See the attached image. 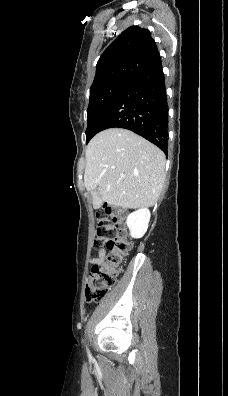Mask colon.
Segmentation results:
<instances>
[{"instance_id": "obj_1", "label": "colon", "mask_w": 228, "mask_h": 396, "mask_svg": "<svg viewBox=\"0 0 228 396\" xmlns=\"http://www.w3.org/2000/svg\"><path fill=\"white\" fill-rule=\"evenodd\" d=\"M96 246L106 249L102 260L93 265L88 275L85 298L88 303L101 301L113 287L120 273L122 260L130 249L125 224L120 212L105 205L96 216Z\"/></svg>"}]
</instances>
